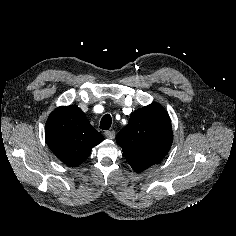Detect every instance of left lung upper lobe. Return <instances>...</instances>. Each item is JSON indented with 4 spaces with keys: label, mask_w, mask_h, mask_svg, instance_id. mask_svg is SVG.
I'll return each instance as SVG.
<instances>
[{
    "label": "left lung upper lobe",
    "mask_w": 236,
    "mask_h": 236,
    "mask_svg": "<svg viewBox=\"0 0 236 236\" xmlns=\"http://www.w3.org/2000/svg\"><path fill=\"white\" fill-rule=\"evenodd\" d=\"M116 141L131 166L150 167L160 163L173 141L167 112L157 103L134 111Z\"/></svg>",
    "instance_id": "obj_1"
}]
</instances>
